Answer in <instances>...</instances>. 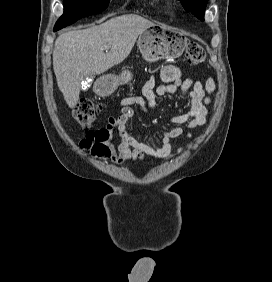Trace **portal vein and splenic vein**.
Masks as SVG:
<instances>
[{"instance_id": "18ae733b", "label": "portal vein and splenic vein", "mask_w": 272, "mask_h": 282, "mask_svg": "<svg viewBox=\"0 0 272 282\" xmlns=\"http://www.w3.org/2000/svg\"><path fill=\"white\" fill-rule=\"evenodd\" d=\"M109 48H110V46H109V45H105V46H104V50H105V51H108V50H109Z\"/></svg>"}]
</instances>
